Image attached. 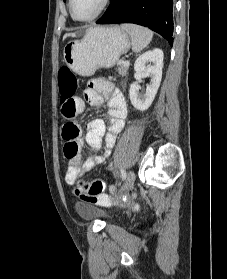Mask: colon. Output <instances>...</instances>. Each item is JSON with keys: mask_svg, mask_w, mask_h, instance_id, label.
Returning <instances> with one entry per match:
<instances>
[{"mask_svg": "<svg viewBox=\"0 0 227 279\" xmlns=\"http://www.w3.org/2000/svg\"><path fill=\"white\" fill-rule=\"evenodd\" d=\"M60 81V92L63 105L61 108L62 116L65 119H72L77 115L78 105L76 103V93L78 82L73 72L68 68H61L58 72ZM79 128L67 123L62 130L65 140L63 147L64 155L68 159L75 158L79 153V146L75 139L78 136ZM75 194L82 200L89 203H108L109 196L104 192L105 184L101 179H94L88 182H80L76 185Z\"/></svg>", "mask_w": 227, "mask_h": 279, "instance_id": "5ec220e1", "label": "colon"}]
</instances>
